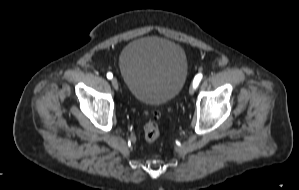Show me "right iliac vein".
Returning a JSON list of instances; mask_svg holds the SVG:
<instances>
[{
    "instance_id": "obj_1",
    "label": "right iliac vein",
    "mask_w": 299,
    "mask_h": 190,
    "mask_svg": "<svg viewBox=\"0 0 299 190\" xmlns=\"http://www.w3.org/2000/svg\"><path fill=\"white\" fill-rule=\"evenodd\" d=\"M111 84L115 89H118V80L116 78H112Z\"/></svg>"
}]
</instances>
